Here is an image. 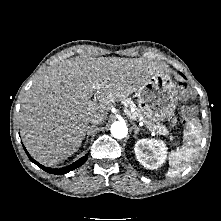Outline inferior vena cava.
<instances>
[{
	"mask_svg": "<svg viewBox=\"0 0 221 221\" xmlns=\"http://www.w3.org/2000/svg\"><path fill=\"white\" fill-rule=\"evenodd\" d=\"M102 118L101 117H94L90 119V123L94 124V125H99L102 123Z\"/></svg>",
	"mask_w": 221,
	"mask_h": 221,
	"instance_id": "inferior-vena-cava-1",
	"label": "inferior vena cava"
}]
</instances>
